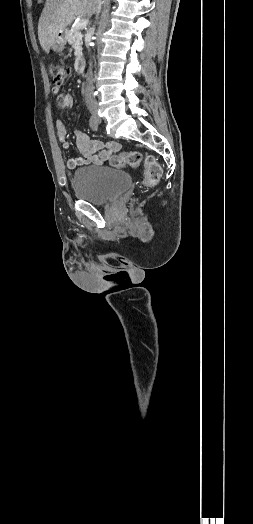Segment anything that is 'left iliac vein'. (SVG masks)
<instances>
[{
    "instance_id": "left-iliac-vein-1",
    "label": "left iliac vein",
    "mask_w": 253,
    "mask_h": 524,
    "mask_svg": "<svg viewBox=\"0 0 253 524\" xmlns=\"http://www.w3.org/2000/svg\"><path fill=\"white\" fill-rule=\"evenodd\" d=\"M96 120H97L98 123L101 122V119L99 117H96Z\"/></svg>"
}]
</instances>
